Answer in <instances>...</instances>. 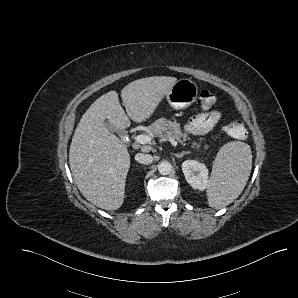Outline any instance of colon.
Listing matches in <instances>:
<instances>
[{
	"mask_svg": "<svg viewBox=\"0 0 298 298\" xmlns=\"http://www.w3.org/2000/svg\"><path fill=\"white\" fill-rule=\"evenodd\" d=\"M199 100L203 108H210L216 102L215 95L208 91L202 90L199 94ZM225 132L235 139H245L247 137V129L244 123L239 119H233L225 126Z\"/></svg>",
	"mask_w": 298,
	"mask_h": 298,
	"instance_id": "5ec220e1",
	"label": "colon"
}]
</instances>
